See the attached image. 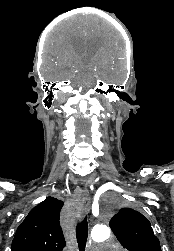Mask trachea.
<instances>
[{
    "mask_svg": "<svg viewBox=\"0 0 174 251\" xmlns=\"http://www.w3.org/2000/svg\"><path fill=\"white\" fill-rule=\"evenodd\" d=\"M88 237V223L87 216L83 221L79 222L76 228V238L78 242V247L80 251L85 250L86 242Z\"/></svg>",
    "mask_w": 174,
    "mask_h": 251,
    "instance_id": "3493384b",
    "label": "trachea"
}]
</instances>
